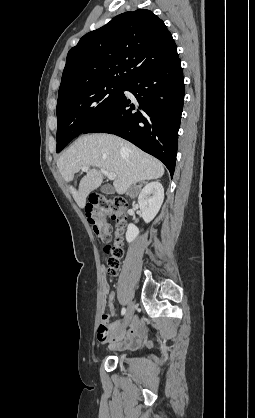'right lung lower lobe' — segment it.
I'll use <instances>...</instances> for the list:
<instances>
[{"instance_id": "1", "label": "right lung lower lobe", "mask_w": 255, "mask_h": 418, "mask_svg": "<svg viewBox=\"0 0 255 418\" xmlns=\"http://www.w3.org/2000/svg\"><path fill=\"white\" fill-rule=\"evenodd\" d=\"M124 90L135 96V105L122 93L108 114L83 134L103 132L120 136L161 160L172 177L184 103L179 57L139 74Z\"/></svg>"}]
</instances>
